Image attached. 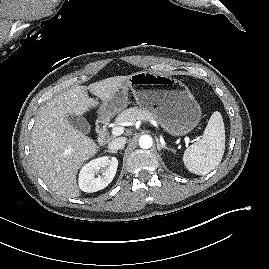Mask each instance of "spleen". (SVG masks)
<instances>
[{
    "instance_id": "spleen-1",
    "label": "spleen",
    "mask_w": 269,
    "mask_h": 269,
    "mask_svg": "<svg viewBox=\"0 0 269 269\" xmlns=\"http://www.w3.org/2000/svg\"><path fill=\"white\" fill-rule=\"evenodd\" d=\"M224 151V122L221 113L215 111L209 119L201 140L185 150L183 162L189 172L206 175L220 164Z\"/></svg>"
}]
</instances>
